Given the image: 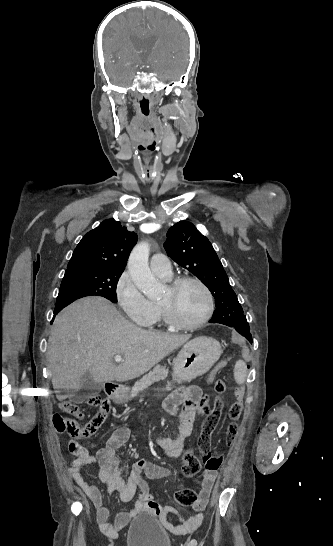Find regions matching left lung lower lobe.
<instances>
[{
    "label": "left lung lower lobe",
    "mask_w": 333,
    "mask_h": 546,
    "mask_svg": "<svg viewBox=\"0 0 333 546\" xmlns=\"http://www.w3.org/2000/svg\"><path fill=\"white\" fill-rule=\"evenodd\" d=\"M210 323H220V324H223L221 323L220 321H218L217 319H214L212 318L210 321ZM224 325H227V324H224ZM227 326H230V325H227ZM230 327H234L236 329V331L238 333H240L242 336H244L250 343L253 342L252 340V336H251V333H250V327H249V324L247 322H242L236 326H230Z\"/></svg>",
    "instance_id": "obj_1"
}]
</instances>
